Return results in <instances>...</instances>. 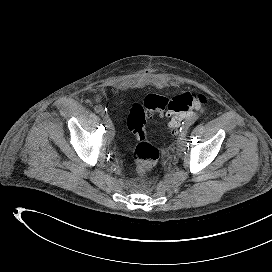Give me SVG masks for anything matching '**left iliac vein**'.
<instances>
[{
	"mask_svg": "<svg viewBox=\"0 0 272 272\" xmlns=\"http://www.w3.org/2000/svg\"><path fill=\"white\" fill-rule=\"evenodd\" d=\"M187 132H188V129L185 130L184 133H180V138H182V140H179L177 144V148L179 151L183 150L185 147V138H186Z\"/></svg>",
	"mask_w": 272,
	"mask_h": 272,
	"instance_id": "obj_1",
	"label": "left iliac vein"
}]
</instances>
